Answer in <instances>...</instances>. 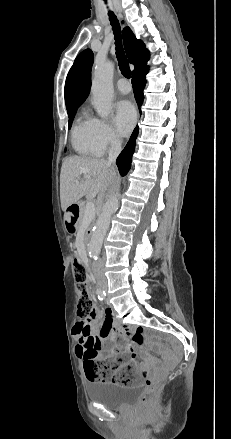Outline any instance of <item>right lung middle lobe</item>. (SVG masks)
<instances>
[{
  "mask_svg": "<svg viewBox=\"0 0 231 439\" xmlns=\"http://www.w3.org/2000/svg\"><path fill=\"white\" fill-rule=\"evenodd\" d=\"M77 109H78V107H77V108L70 109V110H67V112H68V117H69V125H68V129L71 128L72 121H73V119H74V116H75V113H76Z\"/></svg>",
  "mask_w": 231,
  "mask_h": 439,
  "instance_id": "1",
  "label": "right lung middle lobe"
}]
</instances>
